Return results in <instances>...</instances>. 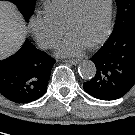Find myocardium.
<instances>
[{
	"mask_svg": "<svg viewBox=\"0 0 135 135\" xmlns=\"http://www.w3.org/2000/svg\"><path fill=\"white\" fill-rule=\"evenodd\" d=\"M84 0H77L71 13L69 14V16L67 17L65 23H64V30L66 32L68 25L78 16L81 6L83 4ZM108 13H107V21H106V26L105 29L103 31V33L93 42L89 43L87 45V47L89 48H94L98 45H100L101 43H103L107 37L109 36L110 32H111V28H112V18H113V0H108Z\"/></svg>",
	"mask_w": 135,
	"mask_h": 135,
	"instance_id": "obj_1",
	"label": "myocardium"
}]
</instances>
